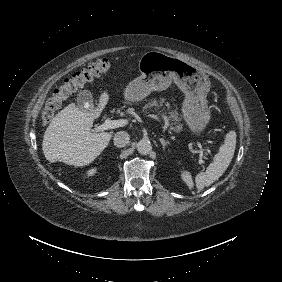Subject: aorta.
Returning a JSON list of instances; mask_svg holds the SVG:
<instances>
[{"instance_id":"aorta-1","label":"aorta","mask_w":282,"mask_h":282,"mask_svg":"<svg viewBox=\"0 0 282 282\" xmlns=\"http://www.w3.org/2000/svg\"><path fill=\"white\" fill-rule=\"evenodd\" d=\"M137 151L142 155H147L152 150V145L148 139H141L136 144Z\"/></svg>"}]
</instances>
